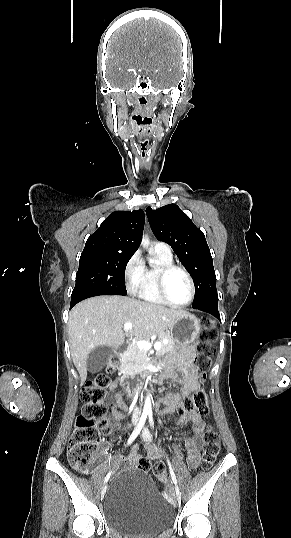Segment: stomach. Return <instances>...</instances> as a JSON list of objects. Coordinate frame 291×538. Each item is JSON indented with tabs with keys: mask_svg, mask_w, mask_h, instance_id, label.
<instances>
[{
	"mask_svg": "<svg viewBox=\"0 0 291 538\" xmlns=\"http://www.w3.org/2000/svg\"><path fill=\"white\" fill-rule=\"evenodd\" d=\"M200 331L199 321L196 316L186 313L180 316L170 327V335L178 345H187L197 338Z\"/></svg>",
	"mask_w": 291,
	"mask_h": 538,
	"instance_id": "0dacf381",
	"label": "stomach"
}]
</instances>
